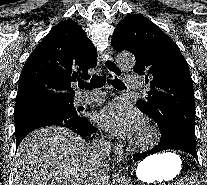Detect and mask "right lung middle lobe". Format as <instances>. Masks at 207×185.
I'll list each match as a JSON object with an SVG mask.
<instances>
[{"mask_svg": "<svg viewBox=\"0 0 207 185\" xmlns=\"http://www.w3.org/2000/svg\"><path fill=\"white\" fill-rule=\"evenodd\" d=\"M87 111V110H86ZM15 131L28 125L44 121L59 124L80 123L86 120L85 111L75 108L73 103L44 104L14 112Z\"/></svg>", "mask_w": 207, "mask_h": 185, "instance_id": "1", "label": "right lung middle lobe"}]
</instances>
